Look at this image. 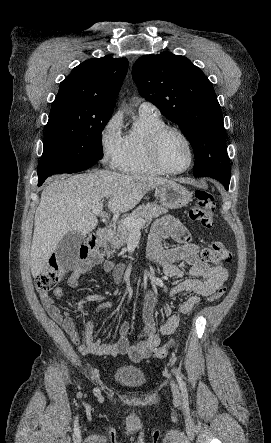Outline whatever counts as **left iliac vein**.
Masks as SVG:
<instances>
[{
    "instance_id": "left-iliac-vein-1",
    "label": "left iliac vein",
    "mask_w": 271,
    "mask_h": 443,
    "mask_svg": "<svg viewBox=\"0 0 271 443\" xmlns=\"http://www.w3.org/2000/svg\"><path fill=\"white\" fill-rule=\"evenodd\" d=\"M171 390H172L174 398L177 400L180 399L181 395H180L178 386L176 385V383L174 381L171 382Z\"/></svg>"
}]
</instances>
